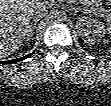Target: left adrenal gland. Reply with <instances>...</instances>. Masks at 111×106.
I'll return each mask as SVG.
<instances>
[{"label": "left adrenal gland", "instance_id": "1", "mask_svg": "<svg viewBox=\"0 0 111 106\" xmlns=\"http://www.w3.org/2000/svg\"><path fill=\"white\" fill-rule=\"evenodd\" d=\"M70 10L74 11V15H76L79 11L86 13V11L81 7H74L73 5H70Z\"/></svg>", "mask_w": 111, "mask_h": 106}]
</instances>
